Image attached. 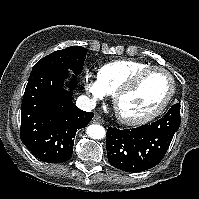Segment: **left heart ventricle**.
Segmentation results:
<instances>
[{
    "instance_id": "1",
    "label": "left heart ventricle",
    "mask_w": 199,
    "mask_h": 199,
    "mask_svg": "<svg viewBox=\"0 0 199 199\" xmlns=\"http://www.w3.org/2000/svg\"><path fill=\"white\" fill-rule=\"evenodd\" d=\"M170 89V81L162 72L143 76L137 86L119 101V110L130 117H138L155 110Z\"/></svg>"
}]
</instances>
